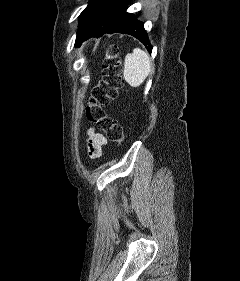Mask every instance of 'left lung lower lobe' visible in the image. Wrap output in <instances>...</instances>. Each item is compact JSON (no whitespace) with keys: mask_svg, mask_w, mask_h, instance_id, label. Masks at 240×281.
<instances>
[{"mask_svg":"<svg viewBox=\"0 0 240 281\" xmlns=\"http://www.w3.org/2000/svg\"><path fill=\"white\" fill-rule=\"evenodd\" d=\"M105 33L132 35L144 43L149 52L152 50L143 23L126 12L125 0H104L80 31L75 45Z\"/></svg>","mask_w":240,"mask_h":281,"instance_id":"obj_1","label":"left lung lower lobe"}]
</instances>
